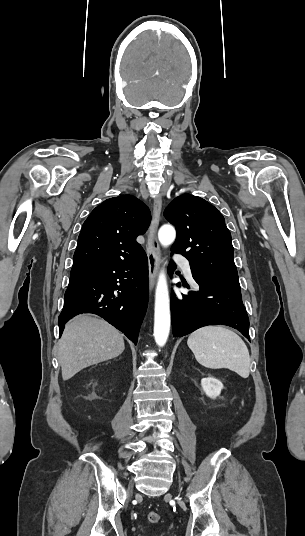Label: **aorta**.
Masks as SVG:
<instances>
[{"mask_svg":"<svg viewBox=\"0 0 305 536\" xmlns=\"http://www.w3.org/2000/svg\"><path fill=\"white\" fill-rule=\"evenodd\" d=\"M176 237L173 226L165 224L158 231V239L163 247L171 245ZM170 300L167 285V278L164 270L159 274L155 291L154 308V338L159 347H163L170 332Z\"/></svg>","mask_w":305,"mask_h":536,"instance_id":"762f6f07","label":"aorta"}]
</instances>
